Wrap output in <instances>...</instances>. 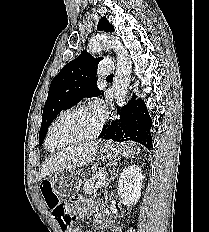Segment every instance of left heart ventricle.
<instances>
[{
	"instance_id": "obj_1",
	"label": "left heart ventricle",
	"mask_w": 209,
	"mask_h": 232,
	"mask_svg": "<svg viewBox=\"0 0 209 232\" xmlns=\"http://www.w3.org/2000/svg\"><path fill=\"white\" fill-rule=\"evenodd\" d=\"M99 116L94 112L73 111L65 115L54 127L50 146L58 148L69 139L91 131L98 123Z\"/></svg>"
}]
</instances>
